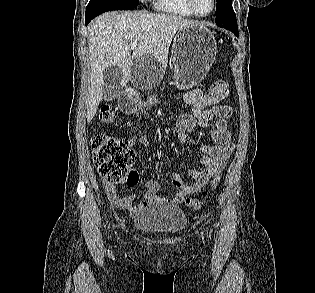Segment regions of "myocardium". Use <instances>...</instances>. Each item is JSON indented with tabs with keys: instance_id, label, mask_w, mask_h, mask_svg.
Listing matches in <instances>:
<instances>
[{
	"instance_id": "1",
	"label": "myocardium",
	"mask_w": 315,
	"mask_h": 293,
	"mask_svg": "<svg viewBox=\"0 0 315 293\" xmlns=\"http://www.w3.org/2000/svg\"><path fill=\"white\" fill-rule=\"evenodd\" d=\"M187 2H188V5H189L191 11L197 17H208V16H210L214 12V10L216 8V4H217L216 0H212V8H211L210 12H208L207 14H201L196 8L195 0H187Z\"/></svg>"
}]
</instances>
